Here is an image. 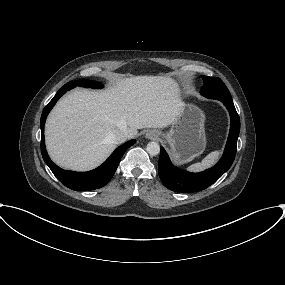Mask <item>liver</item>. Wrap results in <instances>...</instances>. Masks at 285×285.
<instances>
[{"label": "liver", "instance_id": "liver-1", "mask_svg": "<svg viewBox=\"0 0 285 285\" xmlns=\"http://www.w3.org/2000/svg\"><path fill=\"white\" fill-rule=\"evenodd\" d=\"M181 104L178 83L166 76L121 78L106 91L75 90L58 101L47 119L48 153L63 168L93 169L116 148L115 131L126 129L133 138L138 129L165 128Z\"/></svg>", "mask_w": 285, "mask_h": 285}]
</instances>
